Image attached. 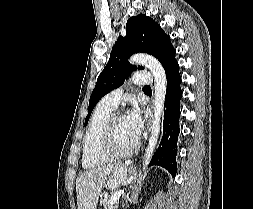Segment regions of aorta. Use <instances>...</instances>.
Returning a JSON list of instances; mask_svg holds the SVG:
<instances>
[{
	"mask_svg": "<svg viewBox=\"0 0 253 209\" xmlns=\"http://www.w3.org/2000/svg\"><path fill=\"white\" fill-rule=\"evenodd\" d=\"M131 62L144 65L148 68L154 76V101H153V121L150 127V137L148 140L147 148L145 149V155L143 160V171L147 168L153 153L156 149L159 133L161 115L163 112L164 100L166 95L167 80L165 71L160 62L146 54H135L131 57Z\"/></svg>",
	"mask_w": 253,
	"mask_h": 209,
	"instance_id": "1",
	"label": "aorta"
}]
</instances>
